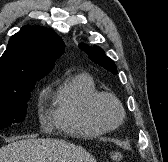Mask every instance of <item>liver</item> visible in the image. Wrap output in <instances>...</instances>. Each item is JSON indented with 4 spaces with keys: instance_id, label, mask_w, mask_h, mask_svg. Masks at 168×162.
Returning <instances> with one entry per match:
<instances>
[{
    "instance_id": "liver-1",
    "label": "liver",
    "mask_w": 168,
    "mask_h": 162,
    "mask_svg": "<svg viewBox=\"0 0 168 162\" xmlns=\"http://www.w3.org/2000/svg\"><path fill=\"white\" fill-rule=\"evenodd\" d=\"M0 162H96L82 147L59 139H23L0 148Z\"/></svg>"
}]
</instances>
